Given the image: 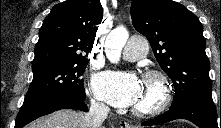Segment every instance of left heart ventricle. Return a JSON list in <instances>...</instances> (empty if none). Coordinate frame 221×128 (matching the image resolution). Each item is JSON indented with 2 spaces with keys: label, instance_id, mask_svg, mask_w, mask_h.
<instances>
[{
  "label": "left heart ventricle",
  "instance_id": "1",
  "mask_svg": "<svg viewBox=\"0 0 221 128\" xmlns=\"http://www.w3.org/2000/svg\"><path fill=\"white\" fill-rule=\"evenodd\" d=\"M157 89L152 83L144 82L142 84V89L140 95L133 105L134 107H148L154 100Z\"/></svg>",
  "mask_w": 221,
  "mask_h": 128
}]
</instances>
